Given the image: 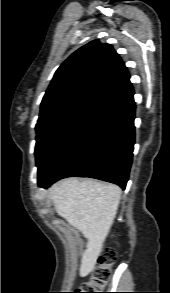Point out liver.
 I'll return each mask as SVG.
<instances>
[{
	"label": "liver",
	"instance_id": "6515ba94",
	"mask_svg": "<svg viewBox=\"0 0 170 293\" xmlns=\"http://www.w3.org/2000/svg\"><path fill=\"white\" fill-rule=\"evenodd\" d=\"M122 190L97 180L68 178L49 190L55 211L87 239L88 250L81 259L80 276H87L96 264L103 243L117 214Z\"/></svg>",
	"mask_w": 170,
	"mask_h": 293
}]
</instances>
